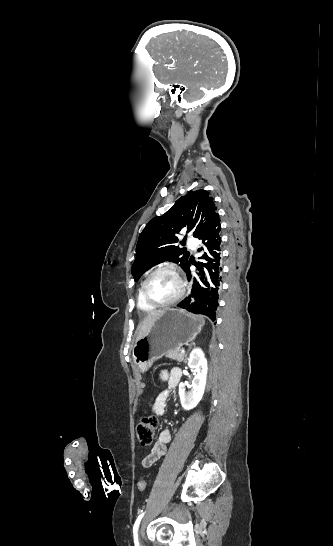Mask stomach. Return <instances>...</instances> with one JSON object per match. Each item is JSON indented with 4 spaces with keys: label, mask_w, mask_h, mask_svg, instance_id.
Wrapping results in <instances>:
<instances>
[{
    "label": "stomach",
    "mask_w": 333,
    "mask_h": 546,
    "mask_svg": "<svg viewBox=\"0 0 333 546\" xmlns=\"http://www.w3.org/2000/svg\"><path fill=\"white\" fill-rule=\"evenodd\" d=\"M204 319L180 309H167L133 347V362L141 372L172 350L189 343L200 333Z\"/></svg>",
    "instance_id": "1"
}]
</instances>
